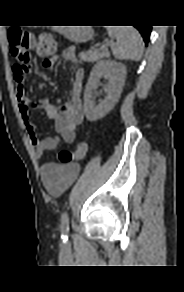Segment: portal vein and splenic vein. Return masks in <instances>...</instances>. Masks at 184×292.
Returning a JSON list of instances; mask_svg holds the SVG:
<instances>
[{
    "mask_svg": "<svg viewBox=\"0 0 184 292\" xmlns=\"http://www.w3.org/2000/svg\"><path fill=\"white\" fill-rule=\"evenodd\" d=\"M101 49H103V50H107L105 46H102Z\"/></svg>",
    "mask_w": 184,
    "mask_h": 292,
    "instance_id": "portal-vein-and-splenic-vein-1",
    "label": "portal vein and splenic vein"
}]
</instances>
